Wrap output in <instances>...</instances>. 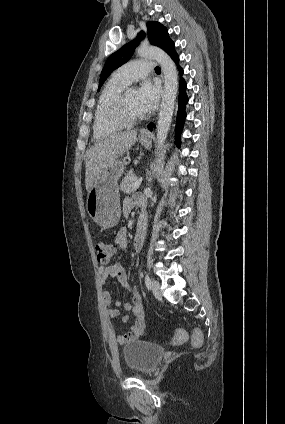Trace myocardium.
<instances>
[{
    "instance_id": "1",
    "label": "myocardium",
    "mask_w": 285,
    "mask_h": 424,
    "mask_svg": "<svg viewBox=\"0 0 285 424\" xmlns=\"http://www.w3.org/2000/svg\"><path fill=\"white\" fill-rule=\"evenodd\" d=\"M126 93L127 91H122L117 96V98L113 101L108 113L109 119L112 122L119 124L123 127L135 125L145 118L144 115L140 117L128 116L125 110Z\"/></svg>"
}]
</instances>
